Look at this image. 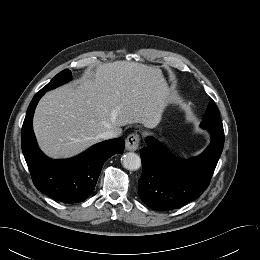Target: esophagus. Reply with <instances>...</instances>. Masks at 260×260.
<instances>
[{
	"instance_id": "1",
	"label": "esophagus",
	"mask_w": 260,
	"mask_h": 260,
	"mask_svg": "<svg viewBox=\"0 0 260 260\" xmlns=\"http://www.w3.org/2000/svg\"><path fill=\"white\" fill-rule=\"evenodd\" d=\"M140 137L138 134H130L125 142V148L128 151H136L139 148Z\"/></svg>"
}]
</instances>
